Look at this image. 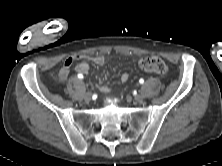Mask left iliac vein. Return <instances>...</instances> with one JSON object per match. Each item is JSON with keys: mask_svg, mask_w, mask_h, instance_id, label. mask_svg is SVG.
I'll return each mask as SVG.
<instances>
[{"mask_svg": "<svg viewBox=\"0 0 222 166\" xmlns=\"http://www.w3.org/2000/svg\"><path fill=\"white\" fill-rule=\"evenodd\" d=\"M134 100L138 103L142 102L143 101V96L140 95V94H137L135 97H134Z\"/></svg>", "mask_w": 222, "mask_h": 166, "instance_id": "left-iliac-vein-1", "label": "left iliac vein"}]
</instances>
